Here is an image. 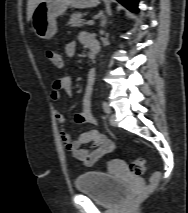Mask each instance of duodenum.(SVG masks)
Wrapping results in <instances>:
<instances>
[{
    "mask_svg": "<svg viewBox=\"0 0 188 213\" xmlns=\"http://www.w3.org/2000/svg\"><path fill=\"white\" fill-rule=\"evenodd\" d=\"M89 47L91 49V56L95 57L97 52H98L99 45H98L97 40L94 37H90V39H89ZM90 78H91V80L93 82L94 79H95V74L90 73Z\"/></svg>",
    "mask_w": 188,
    "mask_h": 213,
    "instance_id": "duodenum-1",
    "label": "duodenum"
}]
</instances>
